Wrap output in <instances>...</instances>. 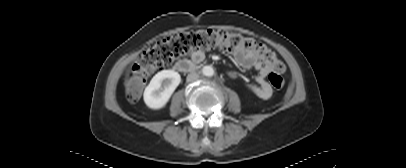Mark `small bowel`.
Returning a JSON list of instances; mask_svg holds the SVG:
<instances>
[{
  "instance_id": "1",
  "label": "small bowel",
  "mask_w": 406,
  "mask_h": 168,
  "mask_svg": "<svg viewBox=\"0 0 406 168\" xmlns=\"http://www.w3.org/2000/svg\"><path fill=\"white\" fill-rule=\"evenodd\" d=\"M233 57L240 67L245 69L254 68L258 71L256 76L257 85H248V88L258 98L269 99L272 96V89L266 81V76L272 71L273 67L268 63H264L254 53L235 52ZM192 59L194 62L199 63L204 59V53L195 52L192 55ZM229 75L233 78L236 77L234 72H231Z\"/></svg>"
}]
</instances>
